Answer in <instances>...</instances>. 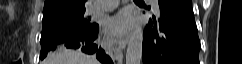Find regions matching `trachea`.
I'll list each match as a JSON object with an SVG mask.
<instances>
[{
  "mask_svg": "<svg viewBox=\"0 0 242 64\" xmlns=\"http://www.w3.org/2000/svg\"><path fill=\"white\" fill-rule=\"evenodd\" d=\"M135 1L141 2V0H135Z\"/></svg>",
  "mask_w": 242,
  "mask_h": 64,
  "instance_id": "1",
  "label": "trachea"
}]
</instances>
